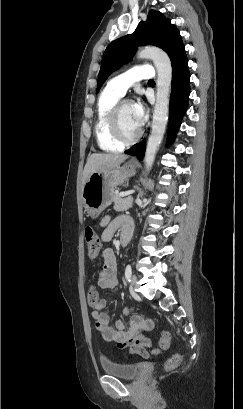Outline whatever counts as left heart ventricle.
<instances>
[{
    "label": "left heart ventricle",
    "mask_w": 243,
    "mask_h": 409,
    "mask_svg": "<svg viewBox=\"0 0 243 409\" xmlns=\"http://www.w3.org/2000/svg\"><path fill=\"white\" fill-rule=\"evenodd\" d=\"M120 126L124 135L127 137L133 136L139 130L140 127L134 118L131 104L123 106L120 112Z\"/></svg>",
    "instance_id": "1"
}]
</instances>
